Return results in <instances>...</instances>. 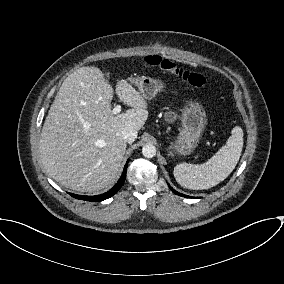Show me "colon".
I'll return each mask as SVG.
<instances>
[{"label":"colon","mask_w":284,"mask_h":284,"mask_svg":"<svg viewBox=\"0 0 284 284\" xmlns=\"http://www.w3.org/2000/svg\"><path fill=\"white\" fill-rule=\"evenodd\" d=\"M145 60L148 66L166 71L192 87L201 88L206 83L202 74L184 70L169 59L153 55L146 57Z\"/></svg>","instance_id":"5ec220e1"}]
</instances>
